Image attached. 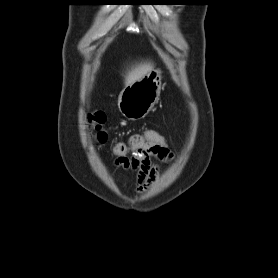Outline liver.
<instances>
[{"mask_svg":"<svg viewBox=\"0 0 278 278\" xmlns=\"http://www.w3.org/2000/svg\"><path fill=\"white\" fill-rule=\"evenodd\" d=\"M152 70L153 65L151 63H141L136 65L135 67H132L125 77V85H129L141 79L144 75Z\"/></svg>","mask_w":278,"mask_h":278,"instance_id":"1","label":"liver"}]
</instances>
